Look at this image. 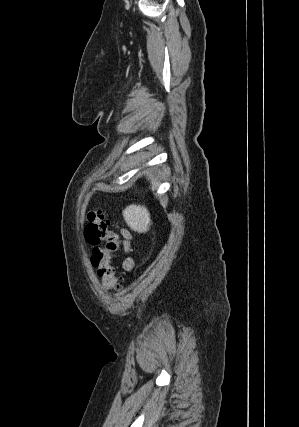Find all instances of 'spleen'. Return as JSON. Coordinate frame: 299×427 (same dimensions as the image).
<instances>
[{
	"label": "spleen",
	"instance_id": "spleen-1",
	"mask_svg": "<svg viewBox=\"0 0 299 427\" xmlns=\"http://www.w3.org/2000/svg\"><path fill=\"white\" fill-rule=\"evenodd\" d=\"M123 217L127 225L139 233L148 231L151 224L150 213L145 206L132 204L123 211Z\"/></svg>",
	"mask_w": 299,
	"mask_h": 427
}]
</instances>
